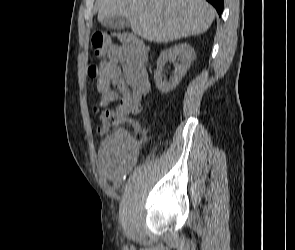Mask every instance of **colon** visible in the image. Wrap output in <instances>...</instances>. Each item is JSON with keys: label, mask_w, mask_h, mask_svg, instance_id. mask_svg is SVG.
Masks as SVG:
<instances>
[{"label": "colon", "mask_w": 295, "mask_h": 250, "mask_svg": "<svg viewBox=\"0 0 295 250\" xmlns=\"http://www.w3.org/2000/svg\"><path fill=\"white\" fill-rule=\"evenodd\" d=\"M118 38L132 54H141L146 51L143 40L128 33H112L96 31L91 39L92 50L95 56L101 59L98 65L91 64L88 67V75L96 77L107 70L109 56L115 47L113 39ZM137 107L120 106L116 109H106L99 114V131L104 132L112 127L120 126L129 121V115L137 114Z\"/></svg>", "instance_id": "1"}]
</instances>
